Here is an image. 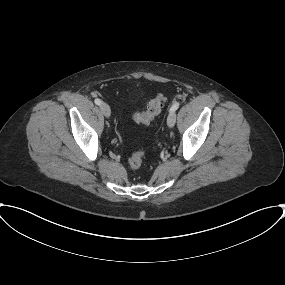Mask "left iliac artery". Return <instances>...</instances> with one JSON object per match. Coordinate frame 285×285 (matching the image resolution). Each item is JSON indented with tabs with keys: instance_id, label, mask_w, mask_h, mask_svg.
Instances as JSON below:
<instances>
[{
	"instance_id": "44dca946",
	"label": "left iliac artery",
	"mask_w": 285,
	"mask_h": 285,
	"mask_svg": "<svg viewBox=\"0 0 285 285\" xmlns=\"http://www.w3.org/2000/svg\"><path fill=\"white\" fill-rule=\"evenodd\" d=\"M179 103L178 102H176V103H174L173 105H172V107L170 108V111H176L178 108H179Z\"/></svg>"
}]
</instances>
